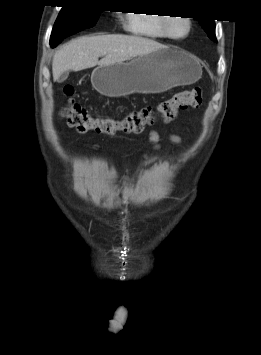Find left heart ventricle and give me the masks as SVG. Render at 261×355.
<instances>
[{
  "mask_svg": "<svg viewBox=\"0 0 261 355\" xmlns=\"http://www.w3.org/2000/svg\"><path fill=\"white\" fill-rule=\"evenodd\" d=\"M171 31L176 36L184 35L187 31V25L182 19H175L171 24Z\"/></svg>",
  "mask_w": 261,
  "mask_h": 355,
  "instance_id": "b2bd125f",
  "label": "left heart ventricle"
}]
</instances>
